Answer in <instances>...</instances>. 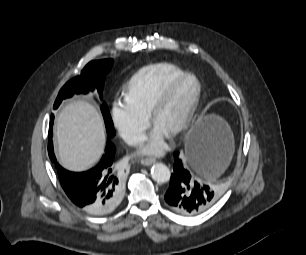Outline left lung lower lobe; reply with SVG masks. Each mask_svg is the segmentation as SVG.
I'll return each instance as SVG.
<instances>
[{
    "label": "left lung lower lobe",
    "instance_id": "left-lung-lower-lobe-1",
    "mask_svg": "<svg viewBox=\"0 0 306 255\" xmlns=\"http://www.w3.org/2000/svg\"><path fill=\"white\" fill-rule=\"evenodd\" d=\"M174 158V172L171 174L170 187L165 194V201L174 211L182 215L198 214L213 203L215 195L209 186L193 181L188 165L211 171L223 158V142L191 144L184 151L186 166H183L179 152L175 153Z\"/></svg>",
    "mask_w": 306,
    "mask_h": 255
}]
</instances>
